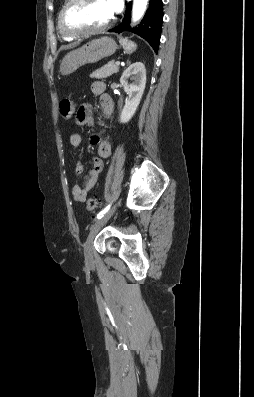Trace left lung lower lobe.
Wrapping results in <instances>:
<instances>
[{
    "label": "left lung lower lobe",
    "instance_id": "obj_1",
    "mask_svg": "<svg viewBox=\"0 0 254 397\" xmlns=\"http://www.w3.org/2000/svg\"><path fill=\"white\" fill-rule=\"evenodd\" d=\"M131 3L127 4L126 15L123 21L115 28L109 30V32L121 33L124 31L133 32L142 38H144L154 49L158 52L160 43L161 27L163 22V3L162 0H150L149 8L136 28H131L130 22V11Z\"/></svg>",
    "mask_w": 254,
    "mask_h": 397
}]
</instances>
